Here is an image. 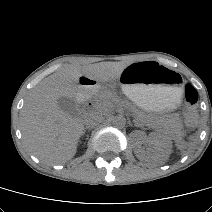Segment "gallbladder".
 Returning <instances> with one entry per match:
<instances>
[{"instance_id": "obj_1", "label": "gallbladder", "mask_w": 212, "mask_h": 212, "mask_svg": "<svg viewBox=\"0 0 212 212\" xmlns=\"http://www.w3.org/2000/svg\"><path fill=\"white\" fill-rule=\"evenodd\" d=\"M59 108L67 114L74 115L76 112V101L73 98L60 97L57 99Z\"/></svg>"}]
</instances>
